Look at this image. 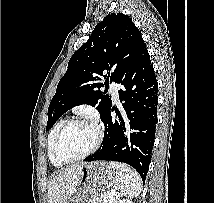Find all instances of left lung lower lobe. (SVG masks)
<instances>
[{
  "label": "left lung lower lobe",
  "instance_id": "obj_1",
  "mask_svg": "<svg viewBox=\"0 0 214 203\" xmlns=\"http://www.w3.org/2000/svg\"><path fill=\"white\" fill-rule=\"evenodd\" d=\"M124 111L113 121L111 108L102 118L105 135L96 153L84 161L111 160L134 167L142 180L151 161L157 120L158 83L147 48L119 82Z\"/></svg>",
  "mask_w": 214,
  "mask_h": 203
}]
</instances>
